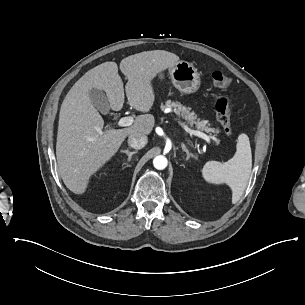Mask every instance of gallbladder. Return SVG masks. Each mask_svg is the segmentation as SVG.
Listing matches in <instances>:
<instances>
[{
  "label": "gallbladder",
  "instance_id": "gallbladder-1",
  "mask_svg": "<svg viewBox=\"0 0 305 305\" xmlns=\"http://www.w3.org/2000/svg\"><path fill=\"white\" fill-rule=\"evenodd\" d=\"M91 99L94 106L101 112L105 113L109 109V102L106 95L98 90L91 91Z\"/></svg>",
  "mask_w": 305,
  "mask_h": 305
}]
</instances>
